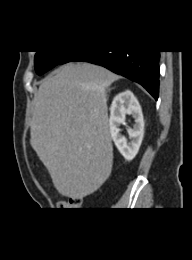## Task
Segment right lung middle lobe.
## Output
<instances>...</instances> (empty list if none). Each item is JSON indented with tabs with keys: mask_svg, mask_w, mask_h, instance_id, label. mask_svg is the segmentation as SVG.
Masks as SVG:
<instances>
[{
	"mask_svg": "<svg viewBox=\"0 0 192 260\" xmlns=\"http://www.w3.org/2000/svg\"><path fill=\"white\" fill-rule=\"evenodd\" d=\"M69 51H37L34 59L35 71L41 75L58 64H61Z\"/></svg>",
	"mask_w": 192,
	"mask_h": 260,
	"instance_id": "1",
	"label": "right lung middle lobe"
}]
</instances>
